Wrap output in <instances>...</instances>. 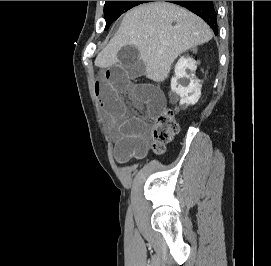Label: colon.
I'll use <instances>...</instances> for the list:
<instances>
[{"mask_svg": "<svg viewBox=\"0 0 271 266\" xmlns=\"http://www.w3.org/2000/svg\"><path fill=\"white\" fill-rule=\"evenodd\" d=\"M178 132V124L174 113L166 109L153 122L151 137L153 149L157 153L164 151V146L172 141Z\"/></svg>", "mask_w": 271, "mask_h": 266, "instance_id": "colon-1", "label": "colon"}]
</instances>
